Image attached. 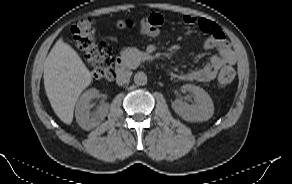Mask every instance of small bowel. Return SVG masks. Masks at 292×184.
<instances>
[{
  "label": "small bowel",
  "instance_id": "obj_1",
  "mask_svg": "<svg viewBox=\"0 0 292 184\" xmlns=\"http://www.w3.org/2000/svg\"><path fill=\"white\" fill-rule=\"evenodd\" d=\"M153 15L159 17L163 23L164 18L161 14L153 13ZM183 21L187 25L198 26L204 33L208 34L203 46L208 50L216 49L217 54L212 55L208 63L203 67L185 73H177L175 77L184 81L208 83L215 79L222 66L233 65L236 62V55L225 34L217 24L208 19L197 18L192 15H185Z\"/></svg>",
  "mask_w": 292,
  "mask_h": 184
}]
</instances>
